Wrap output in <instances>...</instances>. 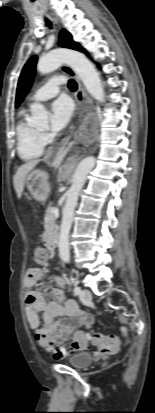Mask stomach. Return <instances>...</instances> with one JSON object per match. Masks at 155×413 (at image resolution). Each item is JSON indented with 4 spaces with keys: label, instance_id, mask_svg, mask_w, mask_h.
I'll return each instance as SVG.
<instances>
[{
    "label": "stomach",
    "instance_id": "obj_1",
    "mask_svg": "<svg viewBox=\"0 0 155 413\" xmlns=\"http://www.w3.org/2000/svg\"><path fill=\"white\" fill-rule=\"evenodd\" d=\"M48 174L41 170H33L26 177V187L34 199L43 204L48 199L50 193V185L48 182Z\"/></svg>",
    "mask_w": 155,
    "mask_h": 413
}]
</instances>
